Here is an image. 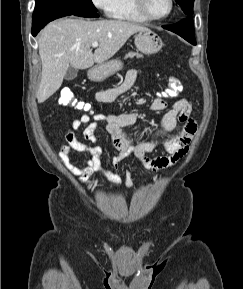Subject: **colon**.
Instances as JSON below:
<instances>
[{
  "instance_id": "colon-1",
  "label": "colon",
  "mask_w": 243,
  "mask_h": 289,
  "mask_svg": "<svg viewBox=\"0 0 243 289\" xmlns=\"http://www.w3.org/2000/svg\"><path fill=\"white\" fill-rule=\"evenodd\" d=\"M182 90L181 82L176 77H170L167 88L163 95L168 98L177 97ZM59 103L63 106H72L79 110L90 111V105L81 101H78L73 91L69 88H63L60 91Z\"/></svg>"
}]
</instances>
